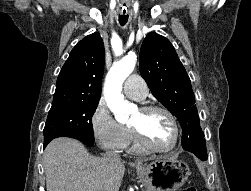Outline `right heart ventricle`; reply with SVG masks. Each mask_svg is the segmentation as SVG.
I'll use <instances>...</instances> for the list:
<instances>
[{"label":"right heart ventricle","mask_w":251,"mask_h":191,"mask_svg":"<svg viewBox=\"0 0 251 191\" xmlns=\"http://www.w3.org/2000/svg\"><path fill=\"white\" fill-rule=\"evenodd\" d=\"M125 147L128 148L129 152L132 154L144 155L148 153V151L138 143L135 134L132 130L130 131V138Z\"/></svg>","instance_id":"e07e8e85"}]
</instances>
